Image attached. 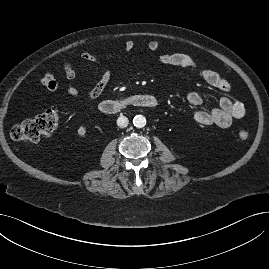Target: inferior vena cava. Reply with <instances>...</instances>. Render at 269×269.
Segmentation results:
<instances>
[{
    "instance_id": "inferior-vena-cava-1",
    "label": "inferior vena cava",
    "mask_w": 269,
    "mask_h": 269,
    "mask_svg": "<svg viewBox=\"0 0 269 269\" xmlns=\"http://www.w3.org/2000/svg\"><path fill=\"white\" fill-rule=\"evenodd\" d=\"M129 123V120L127 117L125 116H120L118 117L117 119V125L120 127V128H124V127H127Z\"/></svg>"
}]
</instances>
